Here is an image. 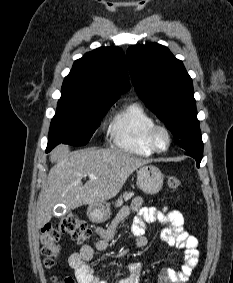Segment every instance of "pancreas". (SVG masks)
<instances>
[{"instance_id":"cf45deb5","label":"pancreas","mask_w":233,"mask_h":283,"mask_svg":"<svg viewBox=\"0 0 233 283\" xmlns=\"http://www.w3.org/2000/svg\"><path fill=\"white\" fill-rule=\"evenodd\" d=\"M133 195H134L133 192H129V193L125 192V193L123 194V196H121V197L118 199V201H117V203H116V206L122 205V203H123V198H124V199H129V198H131Z\"/></svg>"}]
</instances>
